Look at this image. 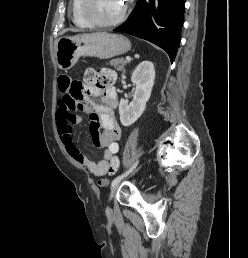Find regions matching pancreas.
<instances>
[{"mask_svg":"<svg viewBox=\"0 0 248 258\" xmlns=\"http://www.w3.org/2000/svg\"><path fill=\"white\" fill-rule=\"evenodd\" d=\"M128 63L127 60L118 58V59H113L110 61V65L113 66L116 70L120 71L124 69V66Z\"/></svg>","mask_w":248,"mask_h":258,"instance_id":"1","label":"pancreas"}]
</instances>
